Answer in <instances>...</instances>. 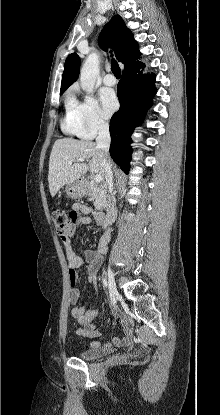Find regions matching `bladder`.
<instances>
[{
	"instance_id": "31cf9c89",
	"label": "bladder",
	"mask_w": 220,
	"mask_h": 415,
	"mask_svg": "<svg viewBox=\"0 0 220 415\" xmlns=\"http://www.w3.org/2000/svg\"><path fill=\"white\" fill-rule=\"evenodd\" d=\"M107 354V349L99 346L90 345L86 349L82 350L79 357L85 360H94L101 358Z\"/></svg>"
}]
</instances>
